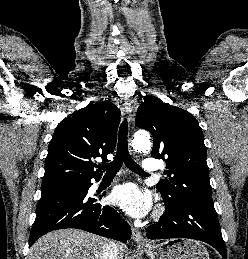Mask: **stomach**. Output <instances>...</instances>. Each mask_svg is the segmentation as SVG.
Here are the masks:
<instances>
[{
	"label": "stomach",
	"mask_w": 248,
	"mask_h": 259,
	"mask_svg": "<svg viewBox=\"0 0 248 259\" xmlns=\"http://www.w3.org/2000/svg\"><path fill=\"white\" fill-rule=\"evenodd\" d=\"M141 248L149 259H210L207 249L190 239H170Z\"/></svg>",
	"instance_id": "1"
}]
</instances>
